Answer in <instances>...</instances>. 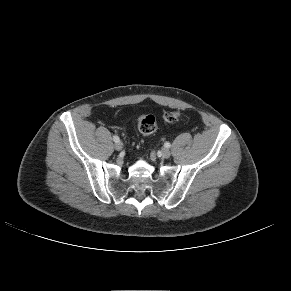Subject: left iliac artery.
<instances>
[{
	"label": "left iliac artery",
	"mask_w": 291,
	"mask_h": 291,
	"mask_svg": "<svg viewBox=\"0 0 291 291\" xmlns=\"http://www.w3.org/2000/svg\"><path fill=\"white\" fill-rule=\"evenodd\" d=\"M164 146L166 147V148H170V143L169 142H166L165 144H164Z\"/></svg>",
	"instance_id": "left-iliac-artery-1"
}]
</instances>
